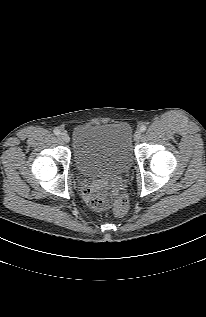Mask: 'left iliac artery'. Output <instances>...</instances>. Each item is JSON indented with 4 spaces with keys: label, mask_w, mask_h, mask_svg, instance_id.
Listing matches in <instances>:
<instances>
[{
    "label": "left iliac artery",
    "mask_w": 206,
    "mask_h": 317,
    "mask_svg": "<svg viewBox=\"0 0 206 317\" xmlns=\"http://www.w3.org/2000/svg\"><path fill=\"white\" fill-rule=\"evenodd\" d=\"M146 128H147V127H146V126H144V125H143V126H141V127H140L141 132L146 131Z\"/></svg>",
    "instance_id": "44dca946"
}]
</instances>
